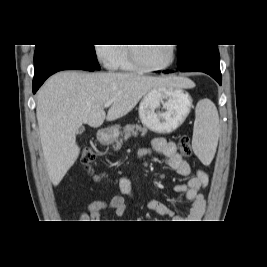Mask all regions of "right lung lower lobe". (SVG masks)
Here are the masks:
<instances>
[{
  "instance_id": "98d812e1",
  "label": "right lung lower lobe",
  "mask_w": 267,
  "mask_h": 267,
  "mask_svg": "<svg viewBox=\"0 0 267 267\" xmlns=\"http://www.w3.org/2000/svg\"><path fill=\"white\" fill-rule=\"evenodd\" d=\"M97 70L87 62L65 52L55 46L44 45L36 47L34 53L33 93L52 74L62 70Z\"/></svg>"
}]
</instances>
